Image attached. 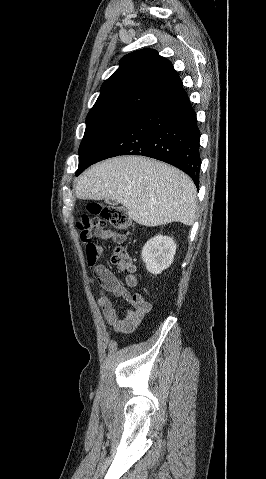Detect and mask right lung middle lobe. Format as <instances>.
Masks as SVG:
<instances>
[{"mask_svg":"<svg viewBox=\"0 0 266 479\" xmlns=\"http://www.w3.org/2000/svg\"><path fill=\"white\" fill-rule=\"evenodd\" d=\"M139 113V110H115L86 118V130L79 147L76 176L93 164L109 142Z\"/></svg>","mask_w":266,"mask_h":479,"instance_id":"obj_1","label":"right lung middle lobe"}]
</instances>
